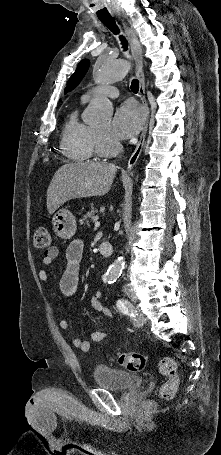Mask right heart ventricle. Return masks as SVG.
Masks as SVG:
<instances>
[{"mask_svg": "<svg viewBox=\"0 0 221 455\" xmlns=\"http://www.w3.org/2000/svg\"><path fill=\"white\" fill-rule=\"evenodd\" d=\"M60 146L66 157L77 162L87 161L96 153L94 128L80 120L78 109L71 111L65 120Z\"/></svg>", "mask_w": 221, "mask_h": 455, "instance_id": "right-heart-ventricle-1", "label": "right heart ventricle"}]
</instances>
